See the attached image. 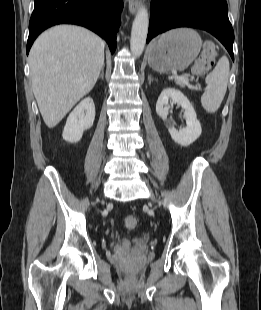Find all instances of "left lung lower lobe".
<instances>
[{"label":"left lung lower lobe","mask_w":261,"mask_h":310,"mask_svg":"<svg viewBox=\"0 0 261 310\" xmlns=\"http://www.w3.org/2000/svg\"><path fill=\"white\" fill-rule=\"evenodd\" d=\"M177 27L208 31L234 60V32L226 0H152L147 43L156 35Z\"/></svg>","instance_id":"obj_1"}]
</instances>
